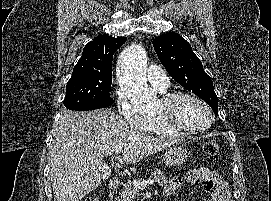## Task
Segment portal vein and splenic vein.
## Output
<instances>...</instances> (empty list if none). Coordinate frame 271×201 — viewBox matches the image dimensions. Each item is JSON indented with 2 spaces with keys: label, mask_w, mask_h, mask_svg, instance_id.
<instances>
[{
  "label": "portal vein and splenic vein",
  "mask_w": 271,
  "mask_h": 201,
  "mask_svg": "<svg viewBox=\"0 0 271 201\" xmlns=\"http://www.w3.org/2000/svg\"><path fill=\"white\" fill-rule=\"evenodd\" d=\"M123 148L121 146L117 147L115 150V154L119 155L122 152ZM113 155V154H110ZM154 183V180L150 179L147 181H142V180H133V184L135 187L139 189L145 188L147 185H152Z\"/></svg>",
  "instance_id": "18ae733b"
}]
</instances>
